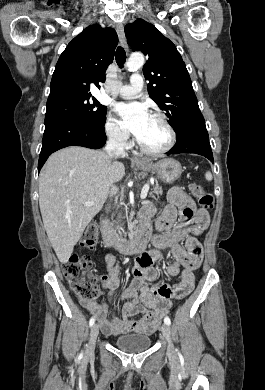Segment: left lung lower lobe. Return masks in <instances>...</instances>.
<instances>
[{"mask_svg":"<svg viewBox=\"0 0 265 390\" xmlns=\"http://www.w3.org/2000/svg\"><path fill=\"white\" fill-rule=\"evenodd\" d=\"M176 144L167 153H195L208 158L214 163L213 154L209 142V135L205 126V120L202 114L198 115L187 126L186 131L176 138Z\"/></svg>","mask_w":265,"mask_h":390,"instance_id":"1","label":"left lung lower lobe"}]
</instances>
